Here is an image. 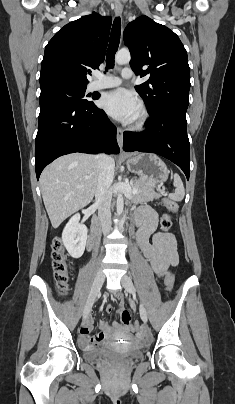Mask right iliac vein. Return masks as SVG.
<instances>
[{
  "instance_id": "1",
  "label": "right iliac vein",
  "mask_w": 235,
  "mask_h": 404,
  "mask_svg": "<svg viewBox=\"0 0 235 404\" xmlns=\"http://www.w3.org/2000/svg\"><path fill=\"white\" fill-rule=\"evenodd\" d=\"M104 280H105V275L102 272V270H99L95 275L94 282H93V285L91 288V292H90L89 298L87 300V303H86V306L84 309L83 323H85L87 321L88 314L90 313V311L92 309V306L98 296V293L103 285Z\"/></svg>"
}]
</instances>
